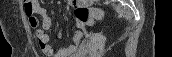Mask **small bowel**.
Segmentation results:
<instances>
[{"label":"small bowel","mask_w":172,"mask_h":57,"mask_svg":"<svg viewBox=\"0 0 172 57\" xmlns=\"http://www.w3.org/2000/svg\"><path fill=\"white\" fill-rule=\"evenodd\" d=\"M24 6L28 25L33 30L39 48L45 55L49 57H69L74 53L84 51L85 46L82 42L81 31L75 32L69 45L56 51L50 45V36L47 30L51 27V18L47 15L45 8L38 0L25 1ZM39 17L41 20H39ZM59 36H61V32H59Z\"/></svg>","instance_id":"obj_1"}]
</instances>
